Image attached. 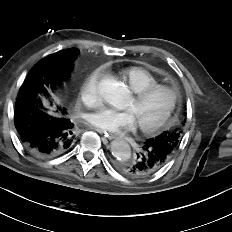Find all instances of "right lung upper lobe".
<instances>
[{
    "label": "right lung upper lobe",
    "instance_id": "1",
    "mask_svg": "<svg viewBox=\"0 0 232 232\" xmlns=\"http://www.w3.org/2000/svg\"><path fill=\"white\" fill-rule=\"evenodd\" d=\"M68 50H74V51H76V49H74V48H72V49H66V50H63L64 52H68ZM60 54V53H59ZM58 55V54H57Z\"/></svg>",
    "mask_w": 232,
    "mask_h": 232
}]
</instances>
